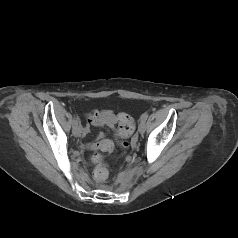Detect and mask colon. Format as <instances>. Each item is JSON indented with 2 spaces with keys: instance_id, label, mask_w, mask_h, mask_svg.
Returning a JSON list of instances; mask_svg holds the SVG:
<instances>
[{
  "instance_id": "colon-1",
  "label": "colon",
  "mask_w": 238,
  "mask_h": 238,
  "mask_svg": "<svg viewBox=\"0 0 238 238\" xmlns=\"http://www.w3.org/2000/svg\"><path fill=\"white\" fill-rule=\"evenodd\" d=\"M116 124H118L117 135L121 138L128 137L132 134L134 130V123L130 116L127 113L122 112L117 115L115 119ZM111 142V141H110ZM122 146H125L124 142H121ZM112 143L110 145H103L102 151L108 152L112 149ZM92 161L96 164V167L93 171V178L96 182H103L108 177V169L106 164L103 161L101 154L97 153L93 155Z\"/></svg>"
}]
</instances>
